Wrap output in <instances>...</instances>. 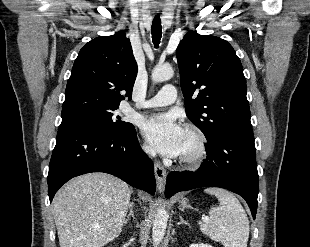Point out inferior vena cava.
Listing matches in <instances>:
<instances>
[{
    "label": "inferior vena cava",
    "instance_id": "inferior-vena-cava-1",
    "mask_svg": "<svg viewBox=\"0 0 310 247\" xmlns=\"http://www.w3.org/2000/svg\"><path fill=\"white\" fill-rule=\"evenodd\" d=\"M146 153L150 154L151 156H155V151L149 147H145Z\"/></svg>",
    "mask_w": 310,
    "mask_h": 247
}]
</instances>
